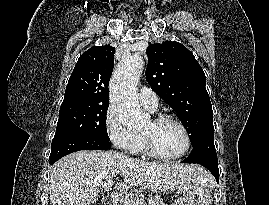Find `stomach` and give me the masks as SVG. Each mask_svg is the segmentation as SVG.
<instances>
[{"instance_id": "0dacf381", "label": "stomach", "mask_w": 269, "mask_h": 205, "mask_svg": "<svg viewBox=\"0 0 269 205\" xmlns=\"http://www.w3.org/2000/svg\"><path fill=\"white\" fill-rule=\"evenodd\" d=\"M178 198L172 205H210L209 190L198 182H190L178 188ZM149 205H160L158 200L150 199Z\"/></svg>"}]
</instances>
